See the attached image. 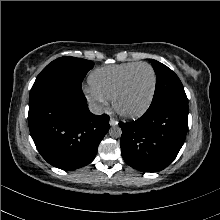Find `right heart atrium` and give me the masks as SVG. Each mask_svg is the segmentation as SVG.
I'll list each match as a JSON object with an SVG mask.
<instances>
[{"mask_svg": "<svg viewBox=\"0 0 220 220\" xmlns=\"http://www.w3.org/2000/svg\"><path fill=\"white\" fill-rule=\"evenodd\" d=\"M86 98L89 103L97 110H102L107 105V99L93 91L91 88L86 90Z\"/></svg>", "mask_w": 220, "mask_h": 220, "instance_id": "right-heart-atrium-1", "label": "right heart atrium"}]
</instances>
